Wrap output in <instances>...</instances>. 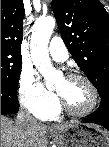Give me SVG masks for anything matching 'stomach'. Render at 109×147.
I'll use <instances>...</instances> for the list:
<instances>
[{"label": "stomach", "instance_id": "stomach-1", "mask_svg": "<svg viewBox=\"0 0 109 147\" xmlns=\"http://www.w3.org/2000/svg\"><path fill=\"white\" fill-rule=\"evenodd\" d=\"M51 136L59 147H109V133L94 124H70Z\"/></svg>", "mask_w": 109, "mask_h": 147}]
</instances>
